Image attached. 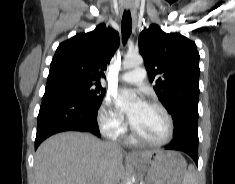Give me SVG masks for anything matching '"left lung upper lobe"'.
Instances as JSON below:
<instances>
[{"label":"left lung upper lobe","instance_id":"left-lung-upper-lobe-1","mask_svg":"<svg viewBox=\"0 0 235 184\" xmlns=\"http://www.w3.org/2000/svg\"><path fill=\"white\" fill-rule=\"evenodd\" d=\"M139 51L150 82L163 106L172 115L174 137H198L199 53L196 44L179 33L167 34L156 24L139 36Z\"/></svg>","mask_w":235,"mask_h":184}]
</instances>
